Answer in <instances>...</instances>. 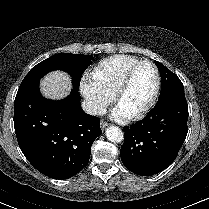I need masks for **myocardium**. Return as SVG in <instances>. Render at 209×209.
<instances>
[{
  "instance_id": "1",
  "label": "myocardium",
  "mask_w": 209,
  "mask_h": 209,
  "mask_svg": "<svg viewBox=\"0 0 209 209\" xmlns=\"http://www.w3.org/2000/svg\"><path fill=\"white\" fill-rule=\"evenodd\" d=\"M142 64H149L153 68V71L155 74V86H154L153 93L149 101L146 103V105L143 106L138 111H136L135 113L131 114V118L133 119L142 118L154 107V105L157 102L159 92H160V86H161L160 73L156 64L153 61L148 60V59L138 60L128 68V70L124 74L123 78L121 79L115 91V98H116L117 103H119L121 96L130 85L135 70Z\"/></svg>"
}]
</instances>
